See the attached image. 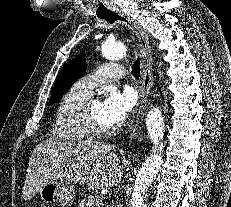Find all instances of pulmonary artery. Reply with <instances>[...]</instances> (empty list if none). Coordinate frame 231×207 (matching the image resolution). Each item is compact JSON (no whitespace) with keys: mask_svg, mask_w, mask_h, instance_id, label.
Returning a JSON list of instances; mask_svg holds the SVG:
<instances>
[{"mask_svg":"<svg viewBox=\"0 0 231 207\" xmlns=\"http://www.w3.org/2000/svg\"><path fill=\"white\" fill-rule=\"evenodd\" d=\"M124 68L121 65L105 63L95 71L80 78L76 85L86 92L91 93L97 85H102L120 79L124 75Z\"/></svg>","mask_w":231,"mask_h":207,"instance_id":"1","label":"pulmonary artery"}]
</instances>
